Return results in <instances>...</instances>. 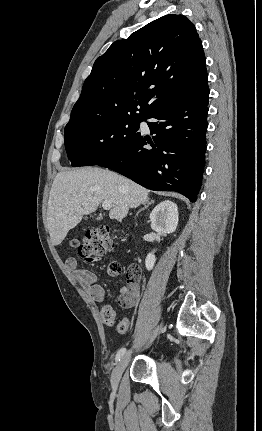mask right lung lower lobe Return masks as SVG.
Segmentation results:
<instances>
[{"label": "right lung lower lobe", "mask_w": 262, "mask_h": 431, "mask_svg": "<svg viewBox=\"0 0 262 431\" xmlns=\"http://www.w3.org/2000/svg\"><path fill=\"white\" fill-rule=\"evenodd\" d=\"M209 88L163 107L145 119L152 139L138 133L123 149L97 165L155 191L172 190L195 202L205 164ZM145 145L151 147L144 148Z\"/></svg>", "instance_id": "right-lung-lower-lobe-1"}]
</instances>
